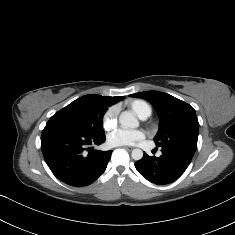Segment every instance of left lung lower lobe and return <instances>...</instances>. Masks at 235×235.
<instances>
[{
  "label": "left lung lower lobe",
  "mask_w": 235,
  "mask_h": 235,
  "mask_svg": "<svg viewBox=\"0 0 235 235\" xmlns=\"http://www.w3.org/2000/svg\"><path fill=\"white\" fill-rule=\"evenodd\" d=\"M160 157L148 156L135 163L137 171L150 182L166 184L179 178L189 166L194 153L180 146H162Z\"/></svg>",
  "instance_id": "0a47b994"
}]
</instances>
